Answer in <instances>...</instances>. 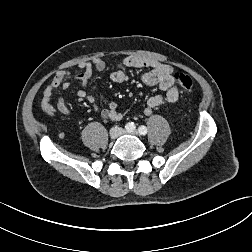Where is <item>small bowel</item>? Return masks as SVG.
<instances>
[{
	"instance_id": "obj_1",
	"label": "small bowel",
	"mask_w": 252,
	"mask_h": 252,
	"mask_svg": "<svg viewBox=\"0 0 252 252\" xmlns=\"http://www.w3.org/2000/svg\"><path fill=\"white\" fill-rule=\"evenodd\" d=\"M82 71L76 75L69 72H59L46 86L43 92L42 107L50 114L61 113L71 116V111L63 98H58L56 104L52 105L51 100L57 88L67 90L70 86V79L75 78L80 82V89L77 91L79 98L86 100L104 119L119 121L123 117V111L119 110L115 102H110L107 107L101 108L95 98L88 93L90 80L94 70L102 72L106 68V62L102 58H94L91 62H80L78 64ZM137 68L147 70L142 75V81L149 86H157L163 94L151 96L144 108L143 113L147 116L159 106L165 103H175L179 98V89L175 85L173 68L155 60L140 57H126L121 62H115V70L110 74V79L115 83H123L128 80L126 69Z\"/></svg>"
}]
</instances>
